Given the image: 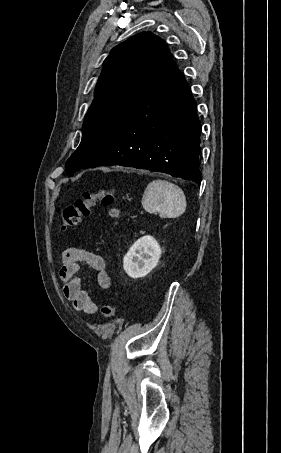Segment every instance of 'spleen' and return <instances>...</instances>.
<instances>
[{
  "label": "spleen",
  "mask_w": 281,
  "mask_h": 453,
  "mask_svg": "<svg viewBox=\"0 0 281 453\" xmlns=\"http://www.w3.org/2000/svg\"><path fill=\"white\" fill-rule=\"evenodd\" d=\"M142 206L147 212H159L162 218H176L185 212L186 198L177 184L168 180H152L145 188Z\"/></svg>",
  "instance_id": "3e777b00"
}]
</instances>
